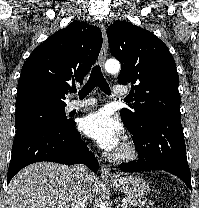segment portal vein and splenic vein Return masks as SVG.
I'll return each instance as SVG.
<instances>
[{"label": "portal vein and splenic vein", "mask_w": 199, "mask_h": 208, "mask_svg": "<svg viewBox=\"0 0 199 208\" xmlns=\"http://www.w3.org/2000/svg\"><path fill=\"white\" fill-rule=\"evenodd\" d=\"M122 208H127V203L122 204Z\"/></svg>", "instance_id": "obj_1"}]
</instances>
